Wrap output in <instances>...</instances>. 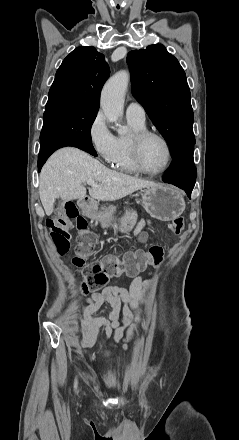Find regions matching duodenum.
I'll return each mask as SVG.
<instances>
[{"label":"duodenum","instance_id":"duodenum-1","mask_svg":"<svg viewBox=\"0 0 239 440\" xmlns=\"http://www.w3.org/2000/svg\"><path fill=\"white\" fill-rule=\"evenodd\" d=\"M80 203H81L82 208H84V209L88 208V206H89L88 198L81 199Z\"/></svg>","mask_w":239,"mask_h":440}]
</instances>
